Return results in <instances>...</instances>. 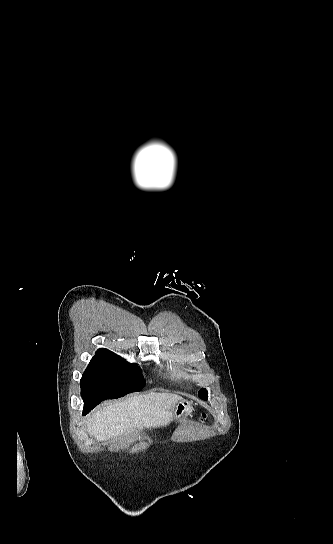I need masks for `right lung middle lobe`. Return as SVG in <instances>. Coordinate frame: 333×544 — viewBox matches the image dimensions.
Returning <instances> with one entry per match:
<instances>
[{"mask_svg":"<svg viewBox=\"0 0 333 544\" xmlns=\"http://www.w3.org/2000/svg\"><path fill=\"white\" fill-rule=\"evenodd\" d=\"M145 381L142 370L108 351L91 360L80 381L84 412L106 399H116L141 391Z\"/></svg>","mask_w":333,"mask_h":544,"instance_id":"dd1d6c3e","label":"right lung middle lobe"}]
</instances>
